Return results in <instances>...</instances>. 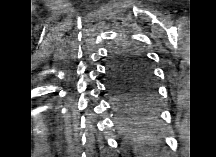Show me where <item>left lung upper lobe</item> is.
Here are the masks:
<instances>
[{
	"label": "left lung upper lobe",
	"mask_w": 216,
	"mask_h": 157,
	"mask_svg": "<svg viewBox=\"0 0 216 157\" xmlns=\"http://www.w3.org/2000/svg\"><path fill=\"white\" fill-rule=\"evenodd\" d=\"M110 56L111 79L119 85L134 88L133 105L154 96L153 73L141 50L128 42H121L111 49Z\"/></svg>",
	"instance_id": "5c2ea615"
}]
</instances>
